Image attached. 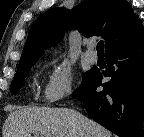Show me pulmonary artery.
Instances as JSON below:
<instances>
[{"label":"pulmonary artery","mask_w":144,"mask_h":137,"mask_svg":"<svg viewBox=\"0 0 144 137\" xmlns=\"http://www.w3.org/2000/svg\"><path fill=\"white\" fill-rule=\"evenodd\" d=\"M95 47V43L93 41L88 42V48L85 52V57L90 63H96L98 60V56L96 52L93 50Z\"/></svg>","instance_id":"pulmonary-artery-1"}]
</instances>
